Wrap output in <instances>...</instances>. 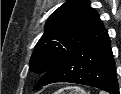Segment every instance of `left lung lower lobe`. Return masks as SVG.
<instances>
[{
	"instance_id": "1",
	"label": "left lung lower lobe",
	"mask_w": 121,
	"mask_h": 94,
	"mask_svg": "<svg viewBox=\"0 0 121 94\" xmlns=\"http://www.w3.org/2000/svg\"><path fill=\"white\" fill-rule=\"evenodd\" d=\"M55 82H71L119 94L110 39L105 30L61 59L37 82L33 90Z\"/></svg>"
}]
</instances>
